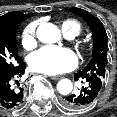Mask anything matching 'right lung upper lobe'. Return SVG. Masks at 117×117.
<instances>
[{
  "label": "right lung upper lobe",
  "instance_id": "obj_1",
  "mask_svg": "<svg viewBox=\"0 0 117 117\" xmlns=\"http://www.w3.org/2000/svg\"><path fill=\"white\" fill-rule=\"evenodd\" d=\"M32 14H22L20 12H10L0 17V26L24 21L30 18Z\"/></svg>",
  "mask_w": 117,
  "mask_h": 117
}]
</instances>
